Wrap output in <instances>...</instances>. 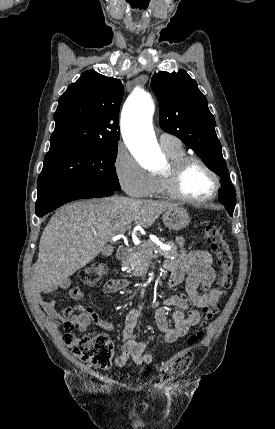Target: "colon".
<instances>
[{
	"mask_svg": "<svg viewBox=\"0 0 275 429\" xmlns=\"http://www.w3.org/2000/svg\"><path fill=\"white\" fill-rule=\"evenodd\" d=\"M205 237L215 254L217 264L222 270L219 284L222 291L231 287L234 258L228 242L223 237L220 229L215 225L205 227ZM107 274V267L103 263H92L79 271L78 280L87 286H97ZM219 304H213L203 308V322L210 320L219 311ZM66 335L64 340L71 353L80 361L91 366L106 370L110 367L114 354V345L106 335H96L93 337L86 335H75L71 332L73 326L65 324ZM203 329L199 327L187 339V344L192 346L203 337ZM193 362V353L182 350L177 353L163 368L161 380L168 382L183 376Z\"/></svg>",
	"mask_w": 275,
	"mask_h": 429,
	"instance_id": "5ec220e1",
	"label": "colon"
}]
</instances>
